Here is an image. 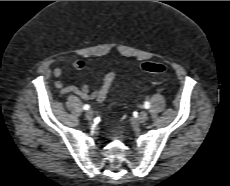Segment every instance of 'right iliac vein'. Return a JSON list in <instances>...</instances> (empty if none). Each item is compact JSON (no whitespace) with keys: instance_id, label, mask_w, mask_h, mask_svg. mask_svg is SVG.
I'll list each match as a JSON object with an SVG mask.
<instances>
[{"instance_id":"1","label":"right iliac vein","mask_w":230,"mask_h":186,"mask_svg":"<svg viewBox=\"0 0 230 186\" xmlns=\"http://www.w3.org/2000/svg\"><path fill=\"white\" fill-rule=\"evenodd\" d=\"M85 117L87 120H92L93 117H94V114L91 110L87 111L86 114H85Z\"/></svg>"}]
</instances>
